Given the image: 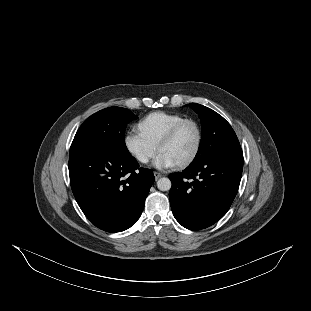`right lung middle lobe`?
I'll list each match as a JSON object with an SVG mask.
<instances>
[{
	"label": "right lung middle lobe",
	"instance_id": "obj_1",
	"mask_svg": "<svg viewBox=\"0 0 311 311\" xmlns=\"http://www.w3.org/2000/svg\"><path fill=\"white\" fill-rule=\"evenodd\" d=\"M137 119L130 110L109 107L91 115L78 129L70 153L89 145H103L128 152L124 134L127 123Z\"/></svg>",
	"mask_w": 311,
	"mask_h": 311
}]
</instances>
